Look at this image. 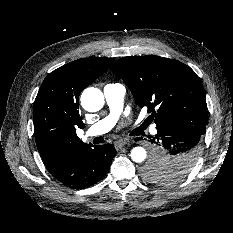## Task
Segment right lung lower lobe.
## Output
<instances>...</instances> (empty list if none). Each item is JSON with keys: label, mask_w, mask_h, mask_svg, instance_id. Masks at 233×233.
I'll use <instances>...</instances> for the list:
<instances>
[{"label": "right lung lower lobe", "mask_w": 233, "mask_h": 233, "mask_svg": "<svg viewBox=\"0 0 233 233\" xmlns=\"http://www.w3.org/2000/svg\"><path fill=\"white\" fill-rule=\"evenodd\" d=\"M116 150L112 144L82 145L47 165L49 172L64 186L83 189L100 181L109 171Z\"/></svg>", "instance_id": "right-lung-lower-lobe-1"}]
</instances>
